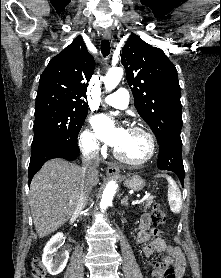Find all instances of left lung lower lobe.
Returning <instances> with one entry per match:
<instances>
[{
	"instance_id": "obj_1",
	"label": "left lung lower lobe",
	"mask_w": 221,
	"mask_h": 278,
	"mask_svg": "<svg viewBox=\"0 0 221 278\" xmlns=\"http://www.w3.org/2000/svg\"><path fill=\"white\" fill-rule=\"evenodd\" d=\"M160 144L157 166L161 170H168L176 173L183 185L185 171L182 160L181 139L168 138Z\"/></svg>"
}]
</instances>
